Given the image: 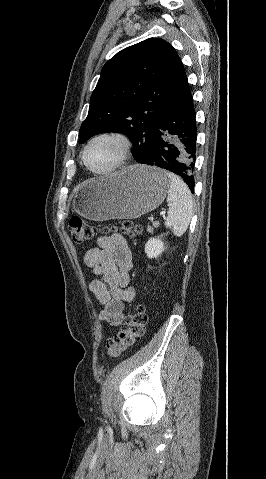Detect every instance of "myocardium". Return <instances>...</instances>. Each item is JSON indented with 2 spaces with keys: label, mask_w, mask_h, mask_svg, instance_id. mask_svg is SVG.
<instances>
[{
  "label": "myocardium",
  "mask_w": 266,
  "mask_h": 479,
  "mask_svg": "<svg viewBox=\"0 0 266 479\" xmlns=\"http://www.w3.org/2000/svg\"><path fill=\"white\" fill-rule=\"evenodd\" d=\"M105 139L114 140L115 142L118 143L120 148L119 154L115 163L110 168L106 170H96L89 165L87 160V154L93 144ZM130 149H131V141L127 135L117 131H106V132H102L95 135L88 141L82 153V160L85 167L92 173L96 175H108L120 169V167L123 165V163L127 159L130 153Z\"/></svg>",
  "instance_id": "1"
}]
</instances>
